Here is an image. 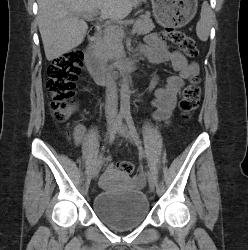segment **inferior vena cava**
Returning <instances> with one entry per match:
<instances>
[{
  "label": "inferior vena cava",
  "mask_w": 248,
  "mask_h": 250,
  "mask_svg": "<svg viewBox=\"0 0 248 250\" xmlns=\"http://www.w3.org/2000/svg\"><path fill=\"white\" fill-rule=\"evenodd\" d=\"M118 97L116 84L113 77L110 75L107 78L106 84V104L105 112L108 121H113L117 117Z\"/></svg>",
  "instance_id": "obj_1"
}]
</instances>
